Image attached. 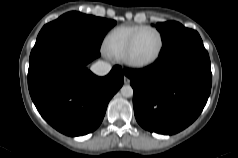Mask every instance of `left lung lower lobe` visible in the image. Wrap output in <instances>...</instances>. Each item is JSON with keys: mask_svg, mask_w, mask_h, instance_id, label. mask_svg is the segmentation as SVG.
Here are the masks:
<instances>
[{"mask_svg": "<svg viewBox=\"0 0 238 158\" xmlns=\"http://www.w3.org/2000/svg\"><path fill=\"white\" fill-rule=\"evenodd\" d=\"M124 73L134 90L137 122L160 134H175L193 123L211 91L210 59L199 35L161 51L152 65Z\"/></svg>", "mask_w": 238, "mask_h": 158, "instance_id": "left-lung-lower-lobe-1", "label": "left lung lower lobe"}]
</instances>
